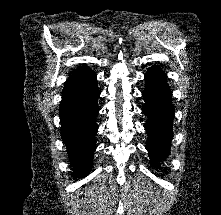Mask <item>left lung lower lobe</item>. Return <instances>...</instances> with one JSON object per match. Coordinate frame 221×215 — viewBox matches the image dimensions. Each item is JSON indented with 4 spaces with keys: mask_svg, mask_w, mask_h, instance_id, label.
Here are the masks:
<instances>
[{
    "mask_svg": "<svg viewBox=\"0 0 221 215\" xmlns=\"http://www.w3.org/2000/svg\"><path fill=\"white\" fill-rule=\"evenodd\" d=\"M146 87L142 93L145 104L142 111L147 115L145 129L148 133L146 149L151 161L166 158L172 139V120L174 108L171 102V90L166 82V74L158 66L151 67L145 74Z\"/></svg>",
    "mask_w": 221,
    "mask_h": 215,
    "instance_id": "obj_1",
    "label": "left lung lower lobe"
}]
</instances>
